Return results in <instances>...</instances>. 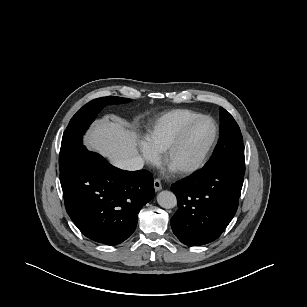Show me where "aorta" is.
<instances>
[{
    "instance_id": "762f6f07",
    "label": "aorta",
    "mask_w": 307,
    "mask_h": 307,
    "mask_svg": "<svg viewBox=\"0 0 307 307\" xmlns=\"http://www.w3.org/2000/svg\"><path fill=\"white\" fill-rule=\"evenodd\" d=\"M157 202L161 207L171 209L177 205V198L173 192L165 190L157 195Z\"/></svg>"
}]
</instances>
